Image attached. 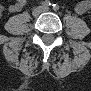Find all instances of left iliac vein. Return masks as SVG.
<instances>
[{
    "instance_id": "obj_1",
    "label": "left iliac vein",
    "mask_w": 91,
    "mask_h": 91,
    "mask_svg": "<svg viewBox=\"0 0 91 91\" xmlns=\"http://www.w3.org/2000/svg\"><path fill=\"white\" fill-rule=\"evenodd\" d=\"M49 10H50L49 7H44V8L42 9L43 12H48Z\"/></svg>"
}]
</instances>
